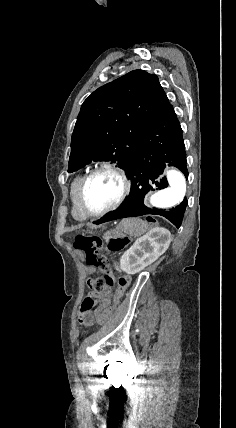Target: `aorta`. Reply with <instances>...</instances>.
Wrapping results in <instances>:
<instances>
[{"instance_id":"obj_1","label":"aorta","mask_w":236,"mask_h":428,"mask_svg":"<svg viewBox=\"0 0 236 428\" xmlns=\"http://www.w3.org/2000/svg\"><path fill=\"white\" fill-rule=\"evenodd\" d=\"M169 186L150 197V203L156 208H171L179 204L186 193V179L177 169L167 171Z\"/></svg>"}]
</instances>
